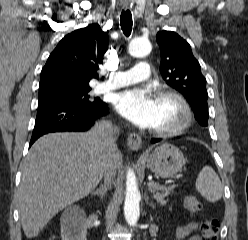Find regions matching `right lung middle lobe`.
Here are the masks:
<instances>
[{
	"mask_svg": "<svg viewBox=\"0 0 248 240\" xmlns=\"http://www.w3.org/2000/svg\"><path fill=\"white\" fill-rule=\"evenodd\" d=\"M89 91L82 92L79 94H72V95L39 99L38 103L66 102V103H71V104H75V105H95V104H97L98 103L97 101L90 102L88 100V98H89L88 92Z\"/></svg>",
	"mask_w": 248,
	"mask_h": 240,
	"instance_id": "obj_1",
	"label": "right lung middle lobe"
}]
</instances>
